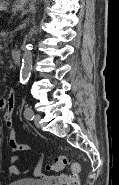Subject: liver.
I'll use <instances>...</instances> for the list:
<instances>
[{"label":"liver","instance_id":"6515ba94","mask_svg":"<svg viewBox=\"0 0 119 185\" xmlns=\"http://www.w3.org/2000/svg\"><path fill=\"white\" fill-rule=\"evenodd\" d=\"M6 8L2 5V4H0V10H5Z\"/></svg>","mask_w":119,"mask_h":185}]
</instances>
